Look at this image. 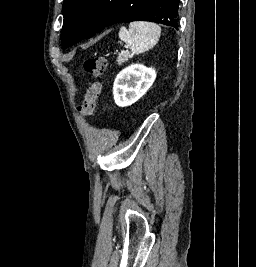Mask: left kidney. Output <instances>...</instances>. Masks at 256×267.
<instances>
[{"label": "left kidney", "mask_w": 256, "mask_h": 267, "mask_svg": "<svg viewBox=\"0 0 256 267\" xmlns=\"http://www.w3.org/2000/svg\"><path fill=\"white\" fill-rule=\"evenodd\" d=\"M154 68H146L143 64H131L124 68L115 78L113 94L117 106H131L140 100L155 82Z\"/></svg>", "instance_id": "obj_1"}]
</instances>
